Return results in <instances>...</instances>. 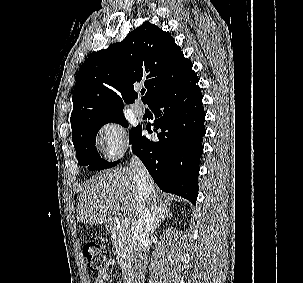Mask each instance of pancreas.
Masks as SVG:
<instances>
[{
  "label": "pancreas",
  "instance_id": "obj_1",
  "mask_svg": "<svg viewBox=\"0 0 303 283\" xmlns=\"http://www.w3.org/2000/svg\"><path fill=\"white\" fill-rule=\"evenodd\" d=\"M113 245L116 249L117 260L121 269L128 270L134 260L135 244L128 229L121 226L113 232Z\"/></svg>",
  "mask_w": 303,
  "mask_h": 283
}]
</instances>
